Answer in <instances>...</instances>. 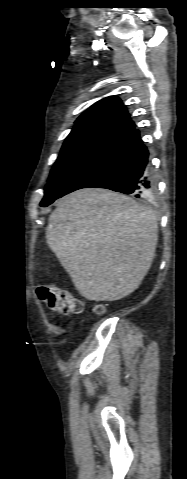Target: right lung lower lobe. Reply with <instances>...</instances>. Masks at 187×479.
<instances>
[{"label":"right lung lower lobe","instance_id":"right-lung-lower-lobe-1","mask_svg":"<svg viewBox=\"0 0 187 479\" xmlns=\"http://www.w3.org/2000/svg\"><path fill=\"white\" fill-rule=\"evenodd\" d=\"M106 188L132 194L144 200L153 199L157 182L149 151L133 129L101 157L80 172L58 198L81 188Z\"/></svg>","mask_w":187,"mask_h":479}]
</instances>
